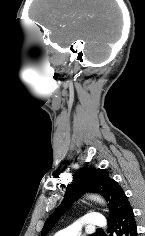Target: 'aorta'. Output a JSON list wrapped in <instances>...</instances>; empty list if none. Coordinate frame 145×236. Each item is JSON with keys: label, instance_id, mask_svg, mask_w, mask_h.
I'll return each instance as SVG.
<instances>
[{"label": "aorta", "instance_id": "aorta-1", "mask_svg": "<svg viewBox=\"0 0 145 236\" xmlns=\"http://www.w3.org/2000/svg\"><path fill=\"white\" fill-rule=\"evenodd\" d=\"M87 198L90 199V200L96 201V202H98V203H100V204H105L104 199L101 198V197L98 196V195H89V196H87Z\"/></svg>", "mask_w": 145, "mask_h": 236}]
</instances>
